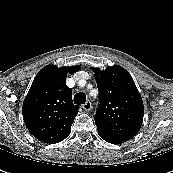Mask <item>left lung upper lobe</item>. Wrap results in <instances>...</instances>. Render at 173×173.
<instances>
[{
	"mask_svg": "<svg viewBox=\"0 0 173 173\" xmlns=\"http://www.w3.org/2000/svg\"><path fill=\"white\" fill-rule=\"evenodd\" d=\"M100 108L94 117L99 135L119 143L133 138L144 116L142 98L131 75L114 65L103 71L93 68Z\"/></svg>",
	"mask_w": 173,
	"mask_h": 173,
	"instance_id": "obj_1",
	"label": "left lung upper lobe"
}]
</instances>
